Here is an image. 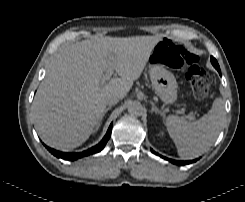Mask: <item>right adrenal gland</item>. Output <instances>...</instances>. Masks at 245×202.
Returning a JSON list of instances; mask_svg holds the SVG:
<instances>
[{
  "label": "right adrenal gland",
  "mask_w": 245,
  "mask_h": 202,
  "mask_svg": "<svg viewBox=\"0 0 245 202\" xmlns=\"http://www.w3.org/2000/svg\"><path fill=\"white\" fill-rule=\"evenodd\" d=\"M110 109H111V106L105 108V110H104V112H103V114H102V116H101V118H100V120H99V123H98V125H97L96 130H98V128L100 127V124H101L102 119L104 118V116H105V114L108 112V110H110Z\"/></svg>",
  "instance_id": "1"
}]
</instances>
